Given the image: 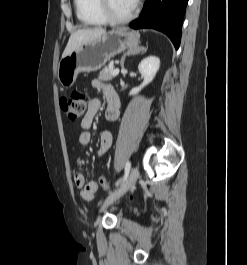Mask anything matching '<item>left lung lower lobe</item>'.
<instances>
[{
	"label": "left lung lower lobe",
	"mask_w": 247,
	"mask_h": 265,
	"mask_svg": "<svg viewBox=\"0 0 247 265\" xmlns=\"http://www.w3.org/2000/svg\"><path fill=\"white\" fill-rule=\"evenodd\" d=\"M187 3L188 0H146L140 17L129 25L134 29L152 28L161 31L178 49Z\"/></svg>",
	"instance_id": "left-lung-lower-lobe-1"
}]
</instances>
